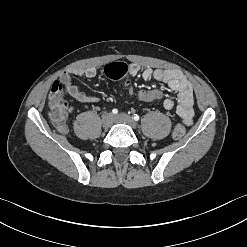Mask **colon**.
Segmentation results:
<instances>
[{
  "label": "colon",
  "mask_w": 247,
  "mask_h": 247,
  "mask_svg": "<svg viewBox=\"0 0 247 247\" xmlns=\"http://www.w3.org/2000/svg\"><path fill=\"white\" fill-rule=\"evenodd\" d=\"M105 75L113 80H124L128 76V66L122 62L108 64L104 69ZM128 92L137 99L143 101L144 104H154L155 100L162 97V93L158 90H140L136 92L129 82H126ZM48 105L50 108V119L57 129L61 132L66 130L67 103L63 97L62 88L54 85L48 97ZM186 133L183 124H177L172 132L174 139H181Z\"/></svg>",
  "instance_id": "colon-1"
}]
</instances>
